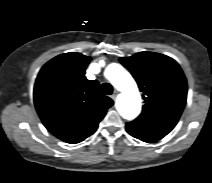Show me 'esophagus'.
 <instances>
[{"instance_id": "esophagus-1", "label": "esophagus", "mask_w": 212, "mask_h": 183, "mask_svg": "<svg viewBox=\"0 0 212 183\" xmlns=\"http://www.w3.org/2000/svg\"><path fill=\"white\" fill-rule=\"evenodd\" d=\"M117 95H118V92L115 91V92L111 95V99H112V100H116Z\"/></svg>"}]
</instances>
